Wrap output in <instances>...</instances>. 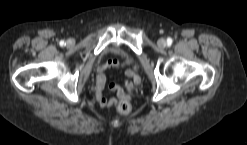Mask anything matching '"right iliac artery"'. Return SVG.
I'll list each match as a JSON object with an SVG mask.
<instances>
[{
  "mask_svg": "<svg viewBox=\"0 0 247 145\" xmlns=\"http://www.w3.org/2000/svg\"><path fill=\"white\" fill-rule=\"evenodd\" d=\"M60 45L61 46H64L65 45V42L64 41H60Z\"/></svg>",
  "mask_w": 247,
  "mask_h": 145,
  "instance_id": "1",
  "label": "right iliac artery"
}]
</instances>
